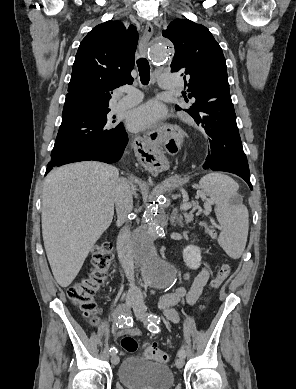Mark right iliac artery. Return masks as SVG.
I'll return each mask as SVG.
<instances>
[{
	"label": "right iliac artery",
	"mask_w": 296,
	"mask_h": 389,
	"mask_svg": "<svg viewBox=\"0 0 296 389\" xmlns=\"http://www.w3.org/2000/svg\"><path fill=\"white\" fill-rule=\"evenodd\" d=\"M127 308L124 304L119 305L117 311L119 314V317L116 321V326L119 328H122L125 325L126 315L124 314V309ZM111 355H116L117 349L115 347L110 349Z\"/></svg>",
	"instance_id": "1"
}]
</instances>
